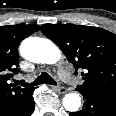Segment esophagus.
I'll return each instance as SVG.
<instances>
[{
  "label": "esophagus",
  "instance_id": "esophagus-1",
  "mask_svg": "<svg viewBox=\"0 0 116 116\" xmlns=\"http://www.w3.org/2000/svg\"><path fill=\"white\" fill-rule=\"evenodd\" d=\"M53 89L59 94H65L67 89L64 86H53Z\"/></svg>",
  "mask_w": 116,
  "mask_h": 116
}]
</instances>
